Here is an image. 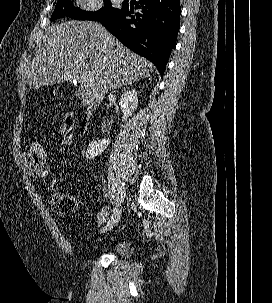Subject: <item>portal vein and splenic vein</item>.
<instances>
[{"label":"portal vein and splenic vein","instance_id":"obj_1","mask_svg":"<svg viewBox=\"0 0 272 303\" xmlns=\"http://www.w3.org/2000/svg\"><path fill=\"white\" fill-rule=\"evenodd\" d=\"M89 80H92L91 78H88L87 76H85V75H82L81 77H80V81L83 83V82H86V81H89Z\"/></svg>","mask_w":272,"mask_h":303}]
</instances>
